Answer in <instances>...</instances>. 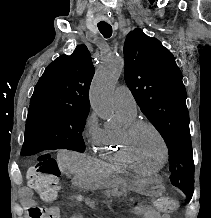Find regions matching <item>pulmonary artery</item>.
<instances>
[{"label":"pulmonary artery","instance_id":"pulmonary-artery-1","mask_svg":"<svg viewBox=\"0 0 211 218\" xmlns=\"http://www.w3.org/2000/svg\"><path fill=\"white\" fill-rule=\"evenodd\" d=\"M114 103L117 108L124 111L134 114L137 112L136 100L131 90L127 86H118L116 88L114 94Z\"/></svg>","mask_w":211,"mask_h":218}]
</instances>
